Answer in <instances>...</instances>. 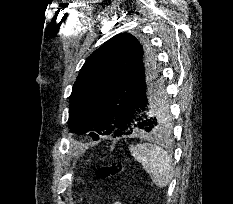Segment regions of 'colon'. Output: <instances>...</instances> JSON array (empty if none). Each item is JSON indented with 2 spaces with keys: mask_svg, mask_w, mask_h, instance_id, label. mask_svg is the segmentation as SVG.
I'll use <instances>...</instances> for the list:
<instances>
[{
  "mask_svg": "<svg viewBox=\"0 0 233 204\" xmlns=\"http://www.w3.org/2000/svg\"><path fill=\"white\" fill-rule=\"evenodd\" d=\"M124 169H125V166H124L123 162L115 161L113 163H110L108 165H105V166L98 168L96 171V177L100 180L110 179V178H113V177L119 175L121 172L124 171ZM116 200H117V202L122 204L120 202L121 197L119 195L116 196Z\"/></svg>",
  "mask_w": 233,
  "mask_h": 204,
  "instance_id": "5ec220e1",
  "label": "colon"
}]
</instances>
